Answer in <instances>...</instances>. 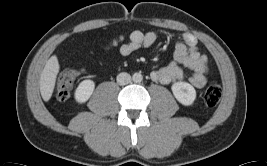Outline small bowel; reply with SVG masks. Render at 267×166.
<instances>
[{
  "label": "small bowel",
  "instance_id": "small-bowel-1",
  "mask_svg": "<svg viewBox=\"0 0 267 166\" xmlns=\"http://www.w3.org/2000/svg\"><path fill=\"white\" fill-rule=\"evenodd\" d=\"M156 41L157 34L154 31H133L129 40L120 46L119 52L123 56H128L142 47L152 46ZM181 65L189 69L191 74L187 75ZM207 72V58L199 51L195 36L185 33L175 41L173 60L167 66L153 71L151 78L162 84L187 80L194 87L201 88L206 83ZM68 73H71L73 77L79 75L76 70Z\"/></svg>",
  "mask_w": 267,
  "mask_h": 166
}]
</instances>
